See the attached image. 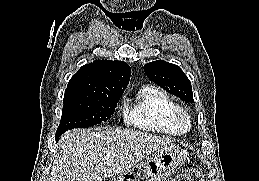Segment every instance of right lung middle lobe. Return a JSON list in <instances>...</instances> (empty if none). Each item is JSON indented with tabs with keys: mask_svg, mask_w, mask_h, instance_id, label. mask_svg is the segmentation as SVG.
Masks as SVG:
<instances>
[{
	"mask_svg": "<svg viewBox=\"0 0 259 181\" xmlns=\"http://www.w3.org/2000/svg\"><path fill=\"white\" fill-rule=\"evenodd\" d=\"M121 95L65 92L60 125L56 136L74 128H88L113 115Z\"/></svg>",
	"mask_w": 259,
	"mask_h": 181,
	"instance_id": "obj_1",
	"label": "right lung middle lobe"
}]
</instances>
